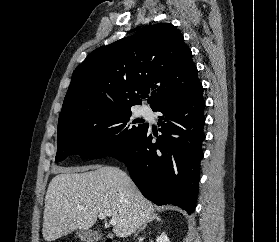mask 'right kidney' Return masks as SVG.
Instances as JSON below:
<instances>
[{
    "instance_id": "obj_1",
    "label": "right kidney",
    "mask_w": 279,
    "mask_h": 242,
    "mask_svg": "<svg viewBox=\"0 0 279 242\" xmlns=\"http://www.w3.org/2000/svg\"><path fill=\"white\" fill-rule=\"evenodd\" d=\"M156 242H170L169 238L165 233H162L160 236L156 238Z\"/></svg>"
}]
</instances>
